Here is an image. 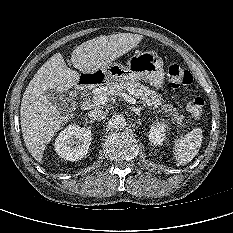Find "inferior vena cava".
I'll return each instance as SVG.
<instances>
[{"mask_svg": "<svg viewBox=\"0 0 233 233\" xmlns=\"http://www.w3.org/2000/svg\"><path fill=\"white\" fill-rule=\"evenodd\" d=\"M88 117L92 120L101 121L105 119L106 112L100 109H94V110L89 111Z\"/></svg>", "mask_w": 233, "mask_h": 233, "instance_id": "obj_1", "label": "inferior vena cava"}]
</instances>
